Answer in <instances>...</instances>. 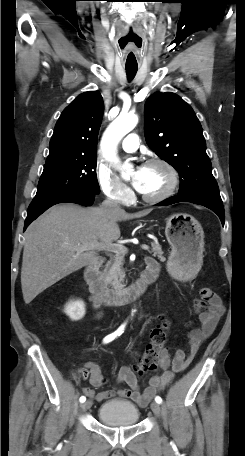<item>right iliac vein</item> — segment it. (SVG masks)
<instances>
[{
  "instance_id": "right-iliac-vein-1",
  "label": "right iliac vein",
  "mask_w": 245,
  "mask_h": 456,
  "mask_svg": "<svg viewBox=\"0 0 245 456\" xmlns=\"http://www.w3.org/2000/svg\"><path fill=\"white\" fill-rule=\"evenodd\" d=\"M92 406V401L88 400L86 402H84L83 404H81V409L83 411L89 409L90 407Z\"/></svg>"
}]
</instances>
